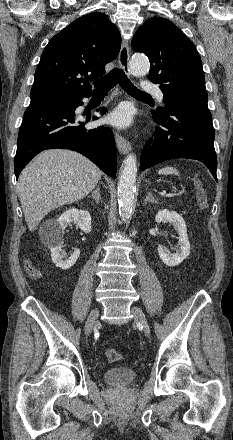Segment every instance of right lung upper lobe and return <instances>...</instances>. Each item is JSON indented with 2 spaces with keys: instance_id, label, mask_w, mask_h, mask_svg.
Instances as JSON below:
<instances>
[{
  "instance_id": "right-lung-upper-lobe-1",
  "label": "right lung upper lobe",
  "mask_w": 233,
  "mask_h": 440,
  "mask_svg": "<svg viewBox=\"0 0 233 440\" xmlns=\"http://www.w3.org/2000/svg\"><path fill=\"white\" fill-rule=\"evenodd\" d=\"M118 29L104 13H90L56 34L35 71L31 102L92 93L88 80L105 73L120 51Z\"/></svg>"
}]
</instances>
